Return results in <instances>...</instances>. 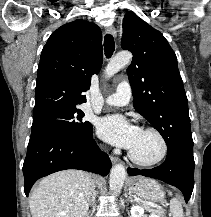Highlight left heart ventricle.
Returning <instances> with one entry per match:
<instances>
[{
	"instance_id": "left-heart-ventricle-1",
	"label": "left heart ventricle",
	"mask_w": 211,
	"mask_h": 217,
	"mask_svg": "<svg viewBox=\"0 0 211 217\" xmlns=\"http://www.w3.org/2000/svg\"><path fill=\"white\" fill-rule=\"evenodd\" d=\"M162 150L159 138L152 132H140L135 145L130 151L140 160L151 161L156 159Z\"/></svg>"
}]
</instances>
